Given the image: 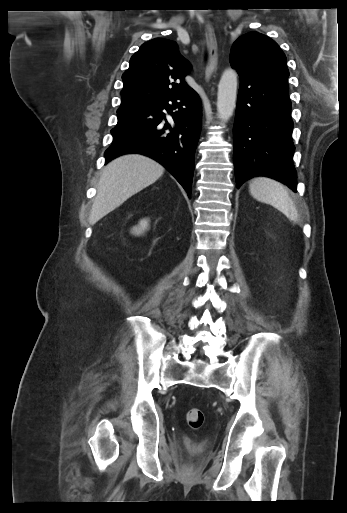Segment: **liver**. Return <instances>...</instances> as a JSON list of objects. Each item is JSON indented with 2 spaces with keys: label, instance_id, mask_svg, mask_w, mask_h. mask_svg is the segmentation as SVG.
<instances>
[{
  "label": "liver",
  "instance_id": "1",
  "mask_svg": "<svg viewBox=\"0 0 347 513\" xmlns=\"http://www.w3.org/2000/svg\"><path fill=\"white\" fill-rule=\"evenodd\" d=\"M164 168L140 154H126L112 160L102 171L91 215L93 225L128 198L155 183Z\"/></svg>",
  "mask_w": 347,
  "mask_h": 513
}]
</instances>
